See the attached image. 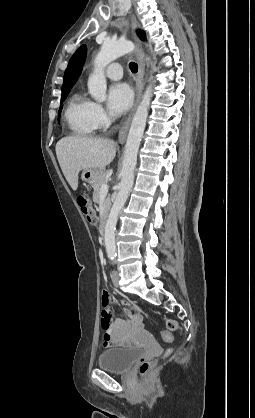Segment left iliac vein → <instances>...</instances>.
Returning <instances> with one entry per match:
<instances>
[{"instance_id": "left-iliac-vein-1", "label": "left iliac vein", "mask_w": 255, "mask_h": 418, "mask_svg": "<svg viewBox=\"0 0 255 418\" xmlns=\"http://www.w3.org/2000/svg\"><path fill=\"white\" fill-rule=\"evenodd\" d=\"M119 278H120L119 271L114 270L112 273V282L114 286H117Z\"/></svg>"}]
</instances>
